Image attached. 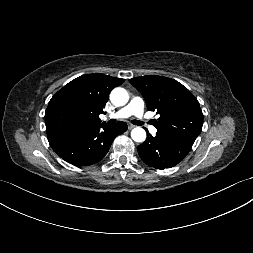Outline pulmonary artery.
I'll return each mask as SVG.
<instances>
[{"label":"pulmonary artery","mask_w":253,"mask_h":253,"mask_svg":"<svg viewBox=\"0 0 253 253\" xmlns=\"http://www.w3.org/2000/svg\"><path fill=\"white\" fill-rule=\"evenodd\" d=\"M136 116L143 125H145L151 133H156V128L150 124L149 119L144 114V101L140 97H134L125 107L118 112L109 115L111 118H128Z\"/></svg>","instance_id":"e3ab8cb5"}]
</instances>
